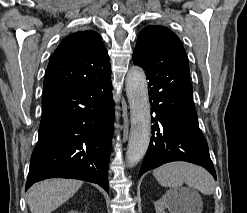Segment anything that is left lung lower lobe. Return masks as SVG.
Returning a JSON list of instances; mask_svg holds the SVG:
<instances>
[{
  "label": "left lung lower lobe",
  "instance_id": "left-lung-lower-lobe-1",
  "mask_svg": "<svg viewBox=\"0 0 247 213\" xmlns=\"http://www.w3.org/2000/svg\"><path fill=\"white\" fill-rule=\"evenodd\" d=\"M145 73L154 125L139 177L164 163L181 160L203 166L216 179L207 141L199 128L189 69L148 66Z\"/></svg>",
  "mask_w": 247,
  "mask_h": 213
}]
</instances>
